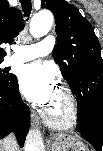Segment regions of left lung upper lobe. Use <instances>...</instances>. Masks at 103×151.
Instances as JSON below:
<instances>
[{
  "instance_id": "obj_1",
  "label": "left lung upper lobe",
  "mask_w": 103,
  "mask_h": 151,
  "mask_svg": "<svg viewBox=\"0 0 103 151\" xmlns=\"http://www.w3.org/2000/svg\"><path fill=\"white\" fill-rule=\"evenodd\" d=\"M56 22L57 44L53 57L68 84L89 73L90 65L103 64L99 41L90 22L65 0H43Z\"/></svg>"
}]
</instances>
